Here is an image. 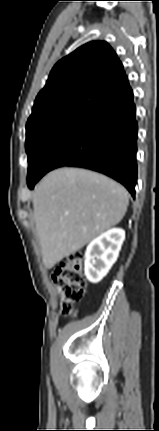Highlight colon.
I'll use <instances>...</instances> for the list:
<instances>
[{
  "instance_id": "colon-1",
  "label": "colon",
  "mask_w": 159,
  "mask_h": 431,
  "mask_svg": "<svg viewBox=\"0 0 159 431\" xmlns=\"http://www.w3.org/2000/svg\"><path fill=\"white\" fill-rule=\"evenodd\" d=\"M52 279L60 290L63 315H74V304L83 299L87 288L83 274V255L80 252H73L65 257L55 267Z\"/></svg>"
}]
</instances>
